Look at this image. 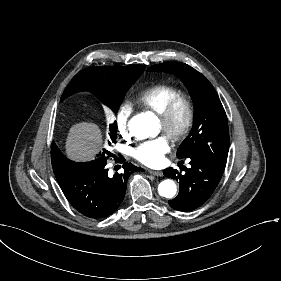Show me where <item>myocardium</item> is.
Returning <instances> with one entry per match:
<instances>
[{
  "label": "myocardium",
  "mask_w": 281,
  "mask_h": 281,
  "mask_svg": "<svg viewBox=\"0 0 281 281\" xmlns=\"http://www.w3.org/2000/svg\"><path fill=\"white\" fill-rule=\"evenodd\" d=\"M178 106L184 109V120L180 126L172 125V117ZM161 124L162 132L171 140L177 141L184 138L190 131L194 121V109L191 100L185 95L172 98L160 113L156 114Z\"/></svg>",
  "instance_id": "obj_1"
}]
</instances>
